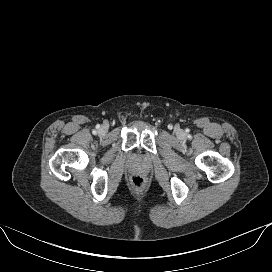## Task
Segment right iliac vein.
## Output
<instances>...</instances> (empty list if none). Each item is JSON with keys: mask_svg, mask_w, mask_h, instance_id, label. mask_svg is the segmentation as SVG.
I'll list each match as a JSON object with an SVG mask.
<instances>
[{"mask_svg": "<svg viewBox=\"0 0 272 272\" xmlns=\"http://www.w3.org/2000/svg\"><path fill=\"white\" fill-rule=\"evenodd\" d=\"M107 132V128L105 126H102L100 129H99V134L100 135H105Z\"/></svg>", "mask_w": 272, "mask_h": 272, "instance_id": "63e3f726", "label": "right iliac vein"}]
</instances>
